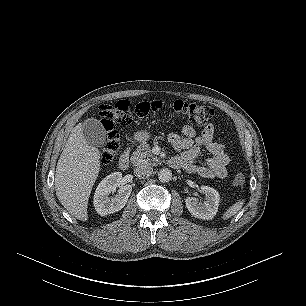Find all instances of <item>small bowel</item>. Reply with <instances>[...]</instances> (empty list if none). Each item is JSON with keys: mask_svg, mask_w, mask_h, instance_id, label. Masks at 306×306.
Instances as JSON below:
<instances>
[{"mask_svg": "<svg viewBox=\"0 0 306 306\" xmlns=\"http://www.w3.org/2000/svg\"><path fill=\"white\" fill-rule=\"evenodd\" d=\"M215 126L208 124L200 135H196L195 129L190 125L182 128V136L176 133L168 134V141L179 152L180 156L170 159L172 167L184 168L187 172L197 174L204 179H225L228 175L227 165L230 156L224 143L213 141ZM205 147L211 154L203 165L194 164L200 150Z\"/></svg>", "mask_w": 306, "mask_h": 306, "instance_id": "1", "label": "small bowel"}]
</instances>
